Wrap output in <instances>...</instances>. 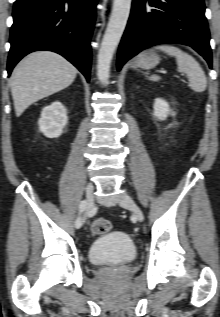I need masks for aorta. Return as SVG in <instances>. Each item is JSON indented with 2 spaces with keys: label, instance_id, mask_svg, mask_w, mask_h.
Instances as JSON below:
<instances>
[{
  "label": "aorta",
  "instance_id": "aorta-1",
  "mask_svg": "<svg viewBox=\"0 0 220 317\" xmlns=\"http://www.w3.org/2000/svg\"><path fill=\"white\" fill-rule=\"evenodd\" d=\"M132 0H114L113 9L105 30L97 59V75L106 82L110 75V65L115 50L125 30Z\"/></svg>",
  "mask_w": 220,
  "mask_h": 317
}]
</instances>
